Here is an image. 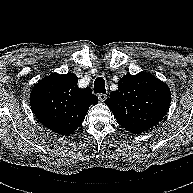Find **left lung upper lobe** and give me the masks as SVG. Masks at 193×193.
<instances>
[{"label":"left lung upper lobe","mask_w":193,"mask_h":193,"mask_svg":"<svg viewBox=\"0 0 193 193\" xmlns=\"http://www.w3.org/2000/svg\"><path fill=\"white\" fill-rule=\"evenodd\" d=\"M171 101L169 87L155 76L140 72L125 75L105 101L117 122L131 133L155 126L166 114Z\"/></svg>","instance_id":"left-lung-upper-lobe-1"}]
</instances>
